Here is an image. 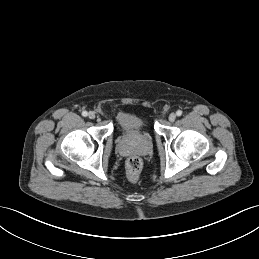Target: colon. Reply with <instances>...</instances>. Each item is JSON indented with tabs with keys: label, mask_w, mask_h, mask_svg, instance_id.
Returning a JSON list of instances; mask_svg holds the SVG:
<instances>
[{
	"label": "colon",
	"mask_w": 259,
	"mask_h": 259,
	"mask_svg": "<svg viewBox=\"0 0 259 259\" xmlns=\"http://www.w3.org/2000/svg\"><path fill=\"white\" fill-rule=\"evenodd\" d=\"M142 160L137 156H132L126 161V177L131 182H136L142 171Z\"/></svg>",
	"instance_id": "colon-1"
}]
</instances>
